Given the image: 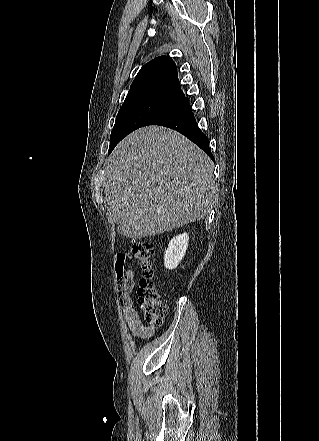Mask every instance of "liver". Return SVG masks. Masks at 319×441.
<instances>
[{"label":"liver","mask_w":319,"mask_h":441,"mask_svg":"<svg viewBox=\"0 0 319 441\" xmlns=\"http://www.w3.org/2000/svg\"><path fill=\"white\" fill-rule=\"evenodd\" d=\"M212 160L180 133L146 126L115 148L104 193L117 232L141 239L203 219L217 196Z\"/></svg>","instance_id":"liver-1"}]
</instances>
